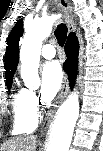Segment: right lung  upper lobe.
<instances>
[{
	"mask_svg": "<svg viewBox=\"0 0 103 151\" xmlns=\"http://www.w3.org/2000/svg\"><path fill=\"white\" fill-rule=\"evenodd\" d=\"M23 34V21L17 20L16 25L10 32L7 39V49L4 58L5 64V79L13 80V75L16 71L19 58V41Z\"/></svg>",
	"mask_w": 103,
	"mask_h": 151,
	"instance_id": "cb5924a9",
	"label": "right lung upper lobe"
}]
</instances>
